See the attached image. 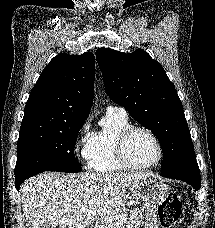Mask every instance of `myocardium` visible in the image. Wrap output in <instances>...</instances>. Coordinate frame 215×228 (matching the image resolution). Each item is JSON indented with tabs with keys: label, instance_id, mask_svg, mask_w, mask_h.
I'll list each match as a JSON object with an SVG mask.
<instances>
[{
	"label": "myocardium",
	"instance_id": "1",
	"mask_svg": "<svg viewBox=\"0 0 215 228\" xmlns=\"http://www.w3.org/2000/svg\"><path fill=\"white\" fill-rule=\"evenodd\" d=\"M136 131H142L146 133L154 142L157 150L156 159L153 162L142 166H136L131 164L126 153L127 142L131 137V135ZM115 154L118 162L124 169L131 170V171H140V170H147L157 166L162 160L163 148L160 140L152 130L141 125H130L126 127L124 130H122L117 136L115 141Z\"/></svg>",
	"mask_w": 215,
	"mask_h": 228
}]
</instances>
